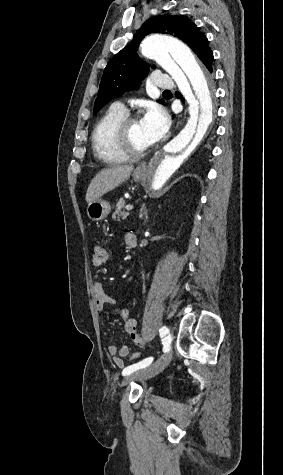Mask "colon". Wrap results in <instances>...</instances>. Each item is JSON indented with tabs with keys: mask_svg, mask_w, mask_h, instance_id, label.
<instances>
[{
	"mask_svg": "<svg viewBox=\"0 0 283 475\" xmlns=\"http://www.w3.org/2000/svg\"><path fill=\"white\" fill-rule=\"evenodd\" d=\"M108 259L109 251L101 243L96 242L92 246V266L95 268L102 267L108 261ZM118 314L123 318L126 331L132 342L138 347H143L144 340L137 329L136 320L130 316L125 307L120 308L118 310ZM135 355L139 356L140 352L136 351Z\"/></svg>",
	"mask_w": 283,
	"mask_h": 475,
	"instance_id": "obj_1",
	"label": "colon"
}]
</instances>
